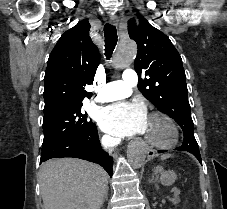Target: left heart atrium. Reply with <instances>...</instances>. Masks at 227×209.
<instances>
[{
	"mask_svg": "<svg viewBox=\"0 0 227 209\" xmlns=\"http://www.w3.org/2000/svg\"><path fill=\"white\" fill-rule=\"evenodd\" d=\"M148 119L146 106L141 99L111 103L103 107L97 115L99 127L118 137L141 133Z\"/></svg>",
	"mask_w": 227,
	"mask_h": 209,
	"instance_id": "1",
	"label": "left heart atrium"
}]
</instances>
